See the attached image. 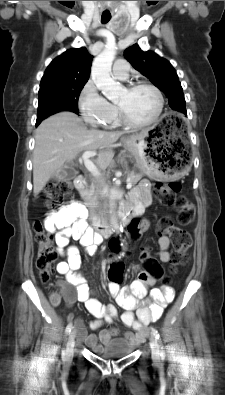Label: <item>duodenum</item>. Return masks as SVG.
I'll return each mask as SVG.
<instances>
[{"instance_id": "duodenum-1", "label": "duodenum", "mask_w": 225, "mask_h": 395, "mask_svg": "<svg viewBox=\"0 0 225 395\" xmlns=\"http://www.w3.org/2000/svg\"><path fill=\"white\" fill-rule=\"evenodd\" d=\"M85 185H86L85 177L83 175H78L75 179L76 188L82 191L84 190ZM132 215H135L133 210H131L130 208H122L118 212L116 218L121 224L126 225L130 222ZM93 226L99 237H108L112 233V228L110 223L104 219L95 218L93 221Z\"/></svg>"}]
</instances>
